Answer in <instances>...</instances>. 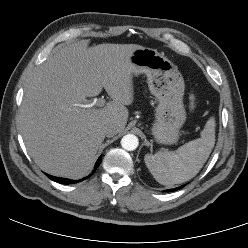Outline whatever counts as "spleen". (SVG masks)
I'll return each mask as SVG.
<instances>
[{"mask_svg":"<svg viewBox=\"0 0 248 248\" xmlns=\"http://www.w3.org/2000/svg\"><path fill=\"white\" fill-rule=\"evenodd\" d=\"M215 118L211 117L201 131V137L176 151L146 154L144 161L155 180L163 185L184 183L195 177L207 161L215 144Z\"/></svg>","mask_w":248,"mask_h":248,"instance_id":"spleen-1","label":"spleen"}]
</instances>
